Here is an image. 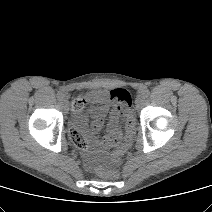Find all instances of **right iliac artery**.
Segmentation results:
<instances>
[{
	"instance_id": "1",
	"label": "right iliac artery",
	"mask_w": 212,
	"mask_h": 212,
	"mask_svg": "<svg viewBox=\"0 0 212 212\" xmlns=\"http://www.w3.org/2000/svg\"><path fill=\"white\" fill-rule=\"evenodd\" d=\"M63 93L61 92V91H58L57 92V98L59 99V100H61L62 98H63Z\"/></svg>"
}]
</instances>
